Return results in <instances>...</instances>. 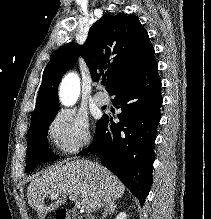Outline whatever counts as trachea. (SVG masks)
Returning a JSON list of instances; mask_svg holds the SVG:
<instances>
[{"label": "trachea", "mask_w": 211, "mask_h": 219, "mask_svg": "<svg viewBox=\"0 0 211 219\" xmlns=\"http://www.w3.org/2000/svg\"><path fill=\"white\" fill-rule=\"evenodd\" d=\"M101 84L105 86V85L107 84V82H106L105 80H103V81L101 82Z\"/></svg>", "instance_id": "obj_1"}]
</instances>
